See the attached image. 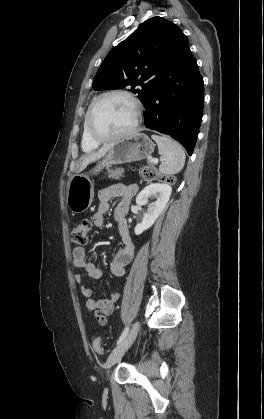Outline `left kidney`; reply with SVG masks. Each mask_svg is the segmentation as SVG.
Returning a JSON list of instances; mask_svg holds the SVG:
<instances>
[{
	"label": "left kidney",
	"instance_id": "5707ae66",
	"mask_svg": "<svg viewBox=\"0 0 264 419\" xmlns=\"http://www.w3.org/2000/svg\"><path fill=\"white\" fill-rule=\"evenodd\" d=\"M171 192V186L166 183H151L140 191L136 197V203L138 205H147L148 199L151 197L156 198V201L148 205L147 212L144 214L142 222L135 226L134 232L136 235L142 234L154 224L169 201Z\"/></svg>",
	"mask_w": 264,
	"mask_h": 419
}]
</instances>
